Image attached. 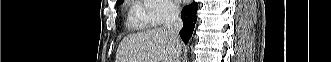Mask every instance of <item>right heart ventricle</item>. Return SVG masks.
I'll list each match as a JSON object with an SVG mask.
<instances>
[{
	"label": "right heart ventricle",
	"instance_id": "e07e8e85",
	"mask_svg": "<svg viewBox=\"0 0 331 62\" xmlns=\"http://www.w3.org/2000/svg\"><path fill=\"white\" fill-rule=\"evenodd\" d=\"M145 16V12L141 7H135L131 10V17H133L134 20L141 22L142 24H144Z\"/></svg>",
	"mask_w": 331,
	"mask_h": 62
}]
</instances>
